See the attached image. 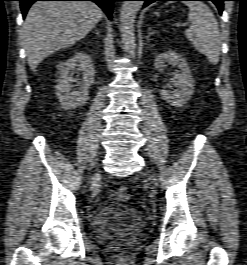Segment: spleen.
Listing matches in <instances>:
<instances>
[{"label": "spleen", "instance_id": "spleen-1", "mask_svg": "<svg viewBox=\"0 0 247 265\" xmlns=\"http://www.w3.org/2000/svg\"><path fill=\"white\" fill-rule=\"evenodd\" d=\"M184 4L189 8L188 19L191 23L185 31L187 39L211 64L216 65L222 42L214 14L203 2L185 1Z\"/></svg>", "mask_w": 247, "mask_h": 265}]
</instances>
